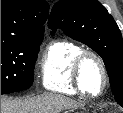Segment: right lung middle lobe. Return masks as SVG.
I'll return each instance as SVG.
<instances>
[{
	"instance_id": "right-lung-middle-lobe-1",
	"label": "right lung middle lobe",
	"mask_w": 123,
	"mask_h": 113,
	"mask_svg": "<svg viewBox=\"0 0 123 113\" xmlns=\"http://www.w3.org/2000/svg\"><path fill=\"white\" fill-rule=\"evenodd\" d=\"M43 37L1 42V94L31 87L34 65Z\"/></svg>"
}]
</instances>
